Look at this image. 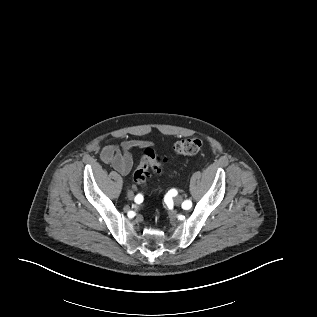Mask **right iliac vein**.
<instances>
[{"mask_svg": "<svg viewBox=\"0 0 317 317\" xmlns=\"http://www.w3.org/2000/svg\"><path fill=\"white\" fill-rule=\"evenodd\" d=\"M127 196L129 199H133L134 194H132L131 192H128Z\"/></svg>", "mask_w": 317, "mask_h": 317, "instance_id": "obj_1", "label": "right iliac vein"}]
</instances>
